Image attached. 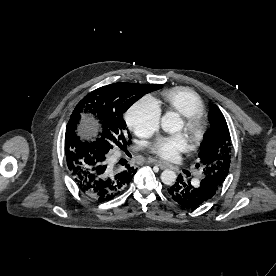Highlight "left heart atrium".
Returning <instances> with one entry per match:
<instances>
[{
    "mask_svg": "<svg viewBox=\"0 0 276 276\" xmlns=\"http://www.w3.org/2000/svg\"><path fill=\"white\" fill-rule=\"evenodd\" d=\"M188 143L182 134L159 137L152 144V151L166 160L176 159L180 153L186 151Z\"/></svg>",
    "mask_w": 276,
    "mask_h": 276,
    "instance_id": "obj_1",
    "label": "left heart atrium"
}]
</instances>
